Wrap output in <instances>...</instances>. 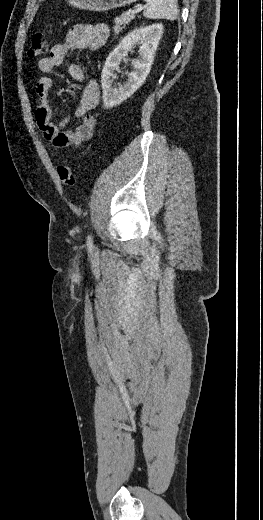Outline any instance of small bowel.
<instances>
[{"instance_id": "1", "label": "small bowel", "mask_w": 263, "mask_h": 520, "mask_svg": "<svg viewBox=\"0 0 263 520\" xmlns=\"http://www.w3.org/2000/svg\"><path fill=\"white\" fill-rule=\"evenodd\" d=\"M107 36L108 28L104 24L74 25L67 31L64 41L54 45L51 48L50 55L41 58L37 63L40 76L35 86L37 96L35 120L44 138L57 149L66 150L71 147H79L82 143L93 138L97 119L89 112L96 107L100 90L97 81L94 79L85 84L74 111L75 118L79 119L80 122L73 129H68V119L59 122L53 119V110L49 100L52 79L47 74L54 67L61 65L72 51L81 49L98 50L104 45ZM68 73L77 82H82L85 79L83 69L76 63L68 66Z\"/></svg>"}]
</instances>
